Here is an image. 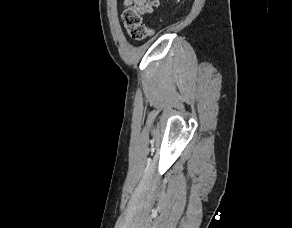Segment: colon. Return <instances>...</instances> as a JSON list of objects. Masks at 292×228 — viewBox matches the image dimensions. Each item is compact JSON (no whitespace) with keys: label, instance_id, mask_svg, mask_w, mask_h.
Here are the masks:
<instances>
[{"label":"colon","instance_id":"colon-1","mask_svg":"<svg viewBox=\"0 0 292 228\" xmlns=\"http://www.w3.org/2000/svg\"><path fill=\"white\" fill-rule=\"evenodd\" d=\"M158 5L159 0H141L123 12V24L132 39L141 41L152 34V29L143 23L142 17L151 14Z\"/></svg>","mask_w":292,"mask_h":228}]
</instances>
